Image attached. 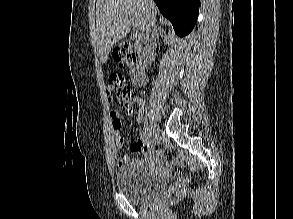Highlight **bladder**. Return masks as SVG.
I'll use <instances>...</instances> for the list:
<instances>
[{
    "instance_id": "obj_1",
    "label": "bladder",
    "mask_w": 293,
    "mask_h": 219,
    "mask_svg": "<svg viewBox=\"0 0 293 219\" xmlns=\"http://www.w3.org/2000/svg\"><path fill=\"white\" fill-rule=\"evenodd\" d=\"M168 183L167 177L151 174L140 166H125L115 173L117 191L133 203L161 192Z\"/></svg>"
}]
</instances>
